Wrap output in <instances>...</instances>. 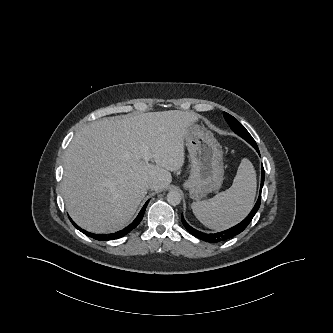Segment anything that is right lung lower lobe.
<instances>
[{
	"instance_id": "right-lung-lower-lobe-1",
	"label": "right lung lower lobe",
	"mask_w": 333,
	"mask_h": 333,
	"mask_svg": "<svg viewBox=\"0 0 333 333\" xmlns=\"http://www.w3.org/2000/svg\"><path fill=\"white\" fill-rule=\"evenodd\" d=\"M148 202H149V200L144 204L143 208L139 212L136 219L129 226L125 227L123 230H120L118 232L111 233V234H94V233L87 232V231L81 229L77 224H75L70 217L69 218H70V221L72 222V224L78 230H80L82 233H84L85 235H87V236H89L93 239H97V240H100V241L114 240V239H118V238H121V237L125 236L126 234H128L131 230H133L140 223V221L143 218L146 207L148 205Z\"/></svg>"
}]
</instances>
